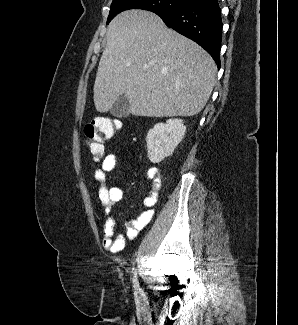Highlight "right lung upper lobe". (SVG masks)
Here are the masks:
<instances>
[{
	"instance_id": "right-lung-upper-lobe-1",
	"label": "right lung upper lobe",
	"mask_w": 298,
	"mask_h": 325,
	"mask_svg": "<svg viewBox=\"0 0 298 325\" xmlns=\"http://www.w3.org/2000/svg\"><path fill=\"white\" fill-rule=\"evenodd\" d=\"M157 12L160 13V12H164V11L163 10H158Z\"/></svg>"
}]
</instances>
